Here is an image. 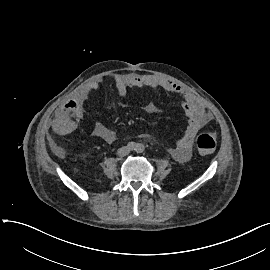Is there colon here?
Masks as SVG:
<instances>
[{
	"mask_svg": "<svg viewBox=\"0 0 270 270\" xmlns=\"http://www.w3.org/2000/svg\"><path fill=\"white\" fill-rule=\"evenodd\" d=\"M197 150L202 155H208L214 152L217 146V139L214 133H204L196 139Z\"/></svg>",
	"mask_w": 270,
	"mask_h": 270,
	"instance_id": "1",
	"label": "colon"
}]
</instances>
